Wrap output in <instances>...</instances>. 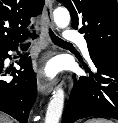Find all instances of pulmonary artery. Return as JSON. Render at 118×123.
I'll use <instances>...</instances> for the list:
<instances>
[{"label": "pulmonary artery", "mask_w": 118, "mask_h": 123, "mask_svg": "<svg viewBox=\"0 0 118 123\" xmlns=\"http://www.w3.org/2000/svg\"><path fill=\"white\" fill-rule=\"evenodd\" d=\"M65 38L68 40H72L75 41L77 43V45L80 47L82 53L84 54V56L90 60V54L88 51V46H87V41L85 40V38H83L82 36L76 34L75 32L71 31V30H67L65 33Z\"/></svg>", "instance_id": "obj_1"}]
</instances>
